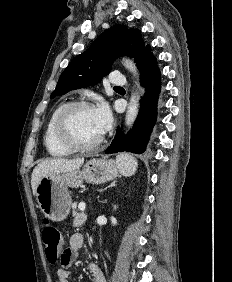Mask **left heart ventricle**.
<instances>
[{"label": "left heart ventricle", "mask_w": 232, "mask_h": 282, "mask_svg": "<svg viewBox=\"0 0 232 282\" xmlns=\"http://www.w3.org/2000/svg\"><path fill=\"white\" fill-rule=\"evenodd\" d=\"M67 129L70 136L82 144L92 143L102 135L93 108H81L73 111L69 117Z\"/></svg>", "instance_id": "obj_1"}]
</instances>
